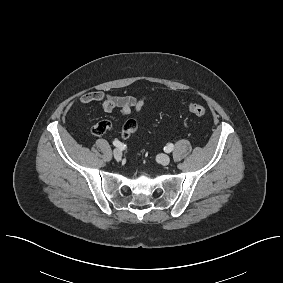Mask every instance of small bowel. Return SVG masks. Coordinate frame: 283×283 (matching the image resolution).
I'll use <instances>...</instances> for the list:
<instances>
[{"instance_id":"c3829d8e","label":"small bowel","mask_w":283,"mask_h":283,"mask_svg":"<svg viewBox=\"0 0 283 283\" xmlns=\"http://www.w3.org/2000/svg\"><path fill=\"white\" fill-rule=\"evenodd\" d=\"M80 105L86 106L92 103L99 104L105 112L111 113L119 108L121 115L124 118L130 117L133 111L139 113L144 106L145 98H136L133 96H117L106 94L101 91H92L84 94L80 98ZM130 122L136 123L135 120H127L120 130V137L128 138L135 134L138 130V125H131Z\"/></svg>"}]
</instances>
